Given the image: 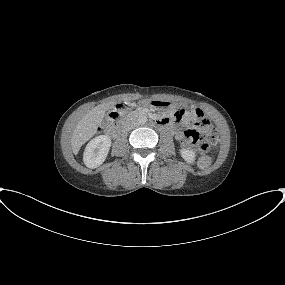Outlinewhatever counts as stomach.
<instances>
[{"mask_svg":"<svg viewBox=\"0 0 285 285\" xmlns=\"http://www.w3.org/2000/svg\"><path fill=\"white\" fill-rule=\"evenodd\" d=\"M143 103L154 111H169L174 108V105L172 103L156 99H147Z\"/></svg>","mask_w":285,"mask_h":285,"instance_id":"1","label":"stomach"}]
</instances>
